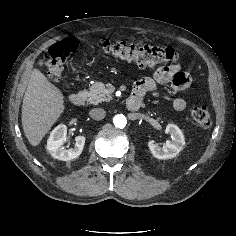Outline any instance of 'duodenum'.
Segmentation results:
<instances>
[{
    "label": "duodenum",
    "mask_w": 236,
    "mask_h": 236,
    "mask_svg": "<svg viewBox=\"0 0 236 236\" xmlns=\"http://www.w3.org/2000/svg\"><path fill=\"white\" fill-rule=\"evenodd\" d=\"M70 103L74 106H81L85 101V94L78 92L74 93L69 98ZM142 103V98L138 95H132L128 98L126 106L130 111H137Z\"/></svg>",
    "instance_id": "1"
}]
</instances>
